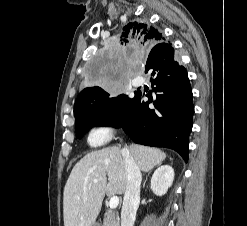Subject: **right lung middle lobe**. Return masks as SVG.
<instances>
[{
  "instance_id": "obj_1",
  "label": "right lung middle lobe",
  "mask_w": 247,
  "mask_h": 226,
  "mask_svg": "<svg viewBox=\"0 0 247 226\" xmlns=\"http://www.w3.org/2000/svg\"><path fill=\"white\" fill-rule=\"evenodd\" d=\"M128 98L125 94L111 95L101 88L92 97L82 101L75 116L76 137L80 139L93 126L105 123L114 112L124 106Z\"/></svg>"
}]
</instances>
